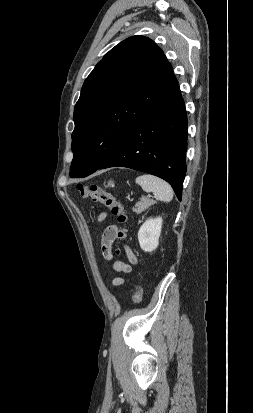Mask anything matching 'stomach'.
Instances as JSON below:
<instances>
[{
    "label": "stomach",
    "instance_id": "1",
    "mask_svg": "<svg viewBox=\"0 0 253 413\" xmlns=\"http://www.w3.org/2000/svg\"><path fill=\"white\" fill-rule=\"evenodd\" d=\"M112 186H114V182L112 180H110L107 184V187H112Z\"/></svg>",
    "mask_w": 253,
    "mask_h": 413
}]
</instances>
